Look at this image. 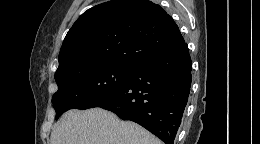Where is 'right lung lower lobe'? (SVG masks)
<instances>
[{"label":"right lung lower lobe","mask_w":260,"mask_h":144,"mask_svg":"<svg viewBox=\"0 0 260 144\" xmlns=\"http://www.w3.org/2000/svg\"><path fill=\"white\" fill-rule=\"evenodd\" d=\"M191 70L184 42L134 65L125 84L94 107L134 121L165 144H174L190 93Z\"/></svg>","instance_id":"1"}]
</instances>
